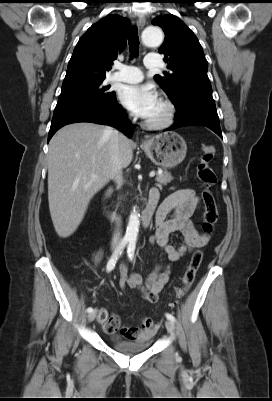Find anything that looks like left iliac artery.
I'll return each mask as SVG.
<instances>
[{
    "instance_id": "left-iliac-artery-1",
    "label": "left iliac artery",
    "mask_w": 272,
    "mask_h": 401,
    "mask_svg": "<svg viewBox=\"0 0 272 401\" xmlns=\"http://www.w3.org/2000/svg\"><path fill=\"white\" fill-rule=\"evenodd\" d=\"M135 247H136V239H130L129 245L127 247V255L130 260H133L134 258ZM165 316L168 320L175 322V317L172 314L166 313Z\"/></svg>"
}]
</instances>
